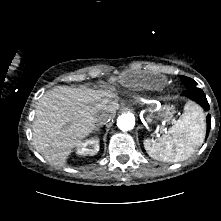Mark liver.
<instances>
[{
  "mask_svg": "<svg viewBox=\"0 0 221 221\" xmlns=\"http://www.w3.org/2000/svg\"><path fill=\"white\" fill-rule=\"evenodd\" d=\"M119 109L113 88L57 86L37 103L32 125L34 148L51 164L66 166L68 156L96 128V118Z\"/></svg>",
  "mask_w": 221,
  "mask_h": 221,
  "instance_id": "6515ba94",
  "label": "liver"
}]
</instances>
